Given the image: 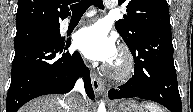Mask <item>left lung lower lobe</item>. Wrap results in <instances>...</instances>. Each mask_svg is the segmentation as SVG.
<instances>
[{
  "instance_id": "1",
  "label": "left lung lower lobe",
  "mask_w": 193,
  "mask_h": 112,
  "mask_svg": "<svg viewBox=\"0 0 193 112\" xmlns=\"http://www.w3.org/2000/svg\"><path fill=\"white\" fill-rule=\"evenodd\" d=\"M129 49L135 62L134 75L124 85L109 90V98H142L160 103L171 112H182L171 28L147 33Z\"/></svg>"
}]
</instances>
